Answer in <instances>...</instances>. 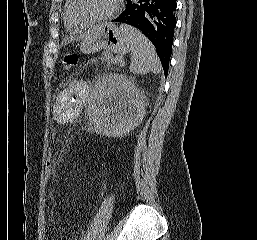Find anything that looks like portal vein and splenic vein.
Returning a JSON list of instances; mask_svg holds the SVG:
<instances>
[{
	"instance_id": "1",
	"label": "portal vein and splenic vein",
	"mask_w": 257,
	"mask_h": 240,
	"mask_svg": "<svg viewBox=\"0 0 257 240\" xmlns=\"http://www.w3.org/2000/svg\"><path fill=\"white\" fill-rule=\"evenodd\" d=\"M117 60L122 63V58L121 57L117 58Z\"/></svg>"
}]
</instances>
